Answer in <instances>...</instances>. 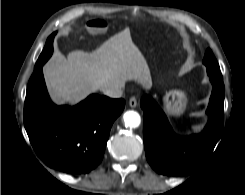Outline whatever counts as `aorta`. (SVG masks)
<instances>
[{"label":"aorta","instance_id":"obj_1","mask_svg":"<svg viewBox=\"0 0 245 195\" xmlns=\"http://www.w3.org/2000/svg\"><path fill=\"white\" fill-rule=\"evenodd\" d=\"M125 125L130 128H137L140 125V115L135 111H127L123 116Z\"/></svg>","mask_w":245,"mask_h":195}]
</instances>
